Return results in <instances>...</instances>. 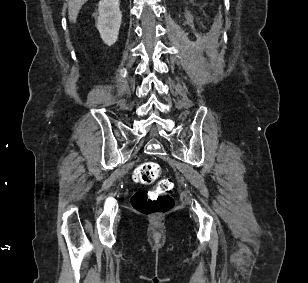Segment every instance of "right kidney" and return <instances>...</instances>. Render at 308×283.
I'll use <instances>...</instances> for the list:
<instances>
[{"label": "right kidney", "mask_w": 308, "mask_h": 283, "mask_svg": "<svg viewBox=\"0 0 308 283\" xmlns=\"http://www.w3.org/2000/svg\"><path fill=\"white\" fill-rule=\"evenodd\" d=\"M121 23L119 0H100L96 26L106 45L111 46L116 42Z\"/></svg>", "instance_id": "1"}]
</instances>
